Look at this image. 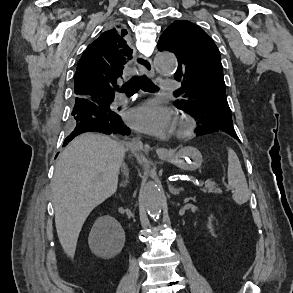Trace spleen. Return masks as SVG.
Returning a JSON list of instances; mask_svg holds the SVG:
<instances>
[{
    "label": "spleen",
    "mask_w": 293,
    "mask_h": 293,
    "mask_svg": "<svg viewBox=\"0 0 293 293\" xmlns=\"http://www.w3.org/2000/svg\"><path fill=\"white\" fill-rule=\"evenodd\" d=\"M228 184L234 189L232 198L241 205L248 201L249 190L240 161L234 150L228 148Z\"/></svg>",
    "instance_id": "3e777b00"
}]
</instances>
